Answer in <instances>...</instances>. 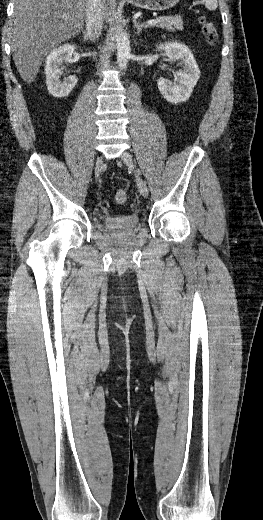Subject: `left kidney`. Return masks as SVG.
Listing matches in <instances>:
<instances>
[{
	"label": "left kidney",
	"instance_id": "obj_1",
	"mask_svg": "<svg viewBox=\"0 0 263 520\" xmlns=\"http://www.w3.org/2000/svg\"><path fill=\"white\" fill-rule=\"evenodd\" d=\"M158 51H165L170 62L181 61L183 69L177 72L179 81L172 84L168 79L160 77L158 89L170 103H182L189 99L194 86L200 78V70L190 49L179 42H166L157 46Z\"/></svg>",
	"mask_w": 263,
	"mask_h": 520
}]
</instances>
